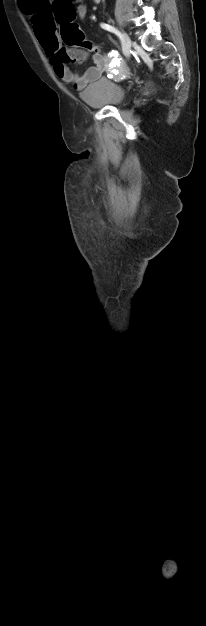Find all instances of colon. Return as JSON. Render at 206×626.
I'll return each mask as SVG.
<instances>
[{"mask_svg":"<svg viewBox=\"0 0 206 626\" xmlns=\"http://www.w3.org/2000/svg\"><path fill=\"white\" fill-rule=\"evenodd\" d=\"M79 1L80 0H55L53 2L57 23L61 26V37L64 44L70 48L78 46L83 49V51L73 49L61 50L60 57L65 62L82 61L87 51L95 49L93 43L85 38L79 26L74 22L75 11L73 5Z\"/></svg>","mask_w":206,"mask_h":626,"instance_id":"1","label":"colon"}]
</instances>
